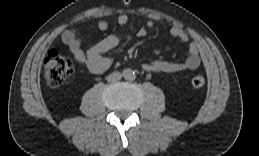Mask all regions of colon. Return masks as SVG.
<instances>
[{
	"mask_svg": "<svg viewBox=\"0 0 259 156\" xmlns=\"http://www.w3.org/2000/svg\"><path fill=\"white\" fill-rule=\"evenodd\" d=\"M44 77L49 87L58 88L71 75L73 63L71 59L56 50H50L43 62ZM205 77L197 74L191 80L193 88H201L205 85Z\"/></svg>",
	"mask_w": 259,
	"mask_h": 156,
	"instance_id": "1",
	"label": "colon"
}]
</instances>
